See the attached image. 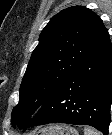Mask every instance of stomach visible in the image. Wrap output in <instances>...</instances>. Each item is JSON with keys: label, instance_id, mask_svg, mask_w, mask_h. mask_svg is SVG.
Here are the masks:
<instances>
[{"label": "stomach", "instance_id": "1", "mask_svg": "<svg viewBox=\"0 0 112 135\" xmlns=\"http://www.w3.org/2000/svg\"><path fill=\"white\" fill-rule=\"evenodd\" d=\"M42 135H78V132L70 126L53 125L45 128Z\"/></svg>", "mask_w": 112, "mask_h": 135}]
</instances>
